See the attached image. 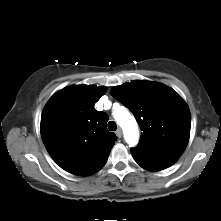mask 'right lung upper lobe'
Wrapping results in <instances>:
<instances>
[{
  "instance_id": "1",
  "label": "right lung upper lobe",
  "mask_w": 221,
  "mask_h": 221,
  "mask_svg": "<svg viewBox=\"0 0 221 221\" xmlns=\"http://www.w3.org/2000/svg\"><path fill=\"white\" fill-rule=\"evenodd\" d=\"M105 87L73 85L55 93L41 117V136L54 161L79 176L106 163L116 136L106 128L108 116L94 109Z\"/></svg>"
}]
</instances>
